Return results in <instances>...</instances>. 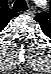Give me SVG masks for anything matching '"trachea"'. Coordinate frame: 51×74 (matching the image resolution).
Instances as JSON below:
<instances>
[{
    "mask_svg": "<svg viewBox=\"0 0 51 74\" xmlns=\"http://www.w3.org/2000/svg\"><path fill=\"white\" fill-rule=\"evenodd\" d=\"M28 9L24 0H17L13 5V10L16 12L26 11Z\"/></svg>",
    "mask_w": 51,
    "mask_h": 74,
    "instance_id": "obj_1",
    "label": "trachea"
}]
</instances>
